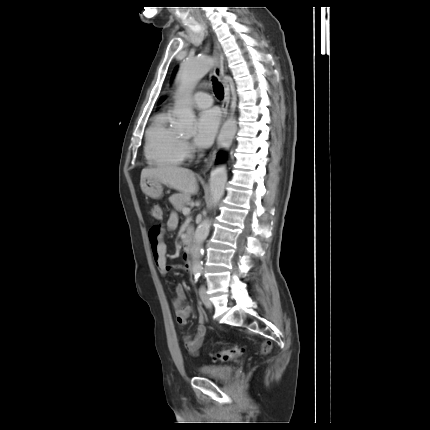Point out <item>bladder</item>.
I'll return each instance as SVG.
<instances>
[{"instance_id":"obj_1","label":"bladder","mask_w":430,"mask_h":430,"mask_svg":"<svg viewBox=\"0 0 430 430\" xmlns=\"http://www.w3.org/2000/svg\"><path fill=\"white\" fill-rule=\"evenodd\" d=\"M198 372L204 377L225 381L232 377L234 368L228 365H204L199 368Z\"/></svg>"}]
</instances>
